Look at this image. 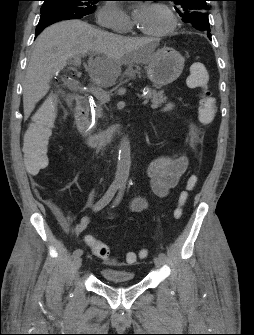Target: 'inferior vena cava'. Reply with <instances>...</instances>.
<instances>
[{"instance_id": "602c4592", "label": "inferior vena cava", "mask_w": 254, "mask_h": 335, "mask_svg": "<svg viewBox=\"0 0 254 335\" xmlns=\"http://www.w3.org/2000/svg\"><path fill=\"white\" fill-rule=\"evenodd\" d=\"M100 146L104 147V138L100 136Z\"/></svg>"}]
</instances>
